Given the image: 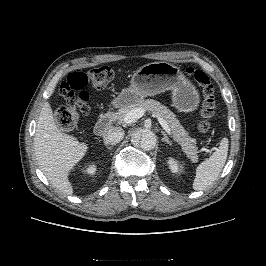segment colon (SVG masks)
Wrapping results in <instances>:
<instances>
[{"label": "colon", "instance_id": "colon-1", "mask_svg": "<svg viewBox=\"0 0 266 266\" xmlns=\"http://www.w3.org/2000/svg\"><path fill=\"white\" fill-rule=\"evenodd\" d=\"M187 72L192 76L202 89L203 102L201 116L198 125L200 133L208 132L209 119L215 110L214 88L209 76L202 70L188 68ZM113 80V71L108 66H99L87 72H75L70 74L60 86V95L63 102L56 111V121L63 129H72L77 126L80 118L90 114V94L86 90L89 83L94 88H106Z\"/></svg>", "mask_w": 266, "mask_h": 266}]
</instances>
